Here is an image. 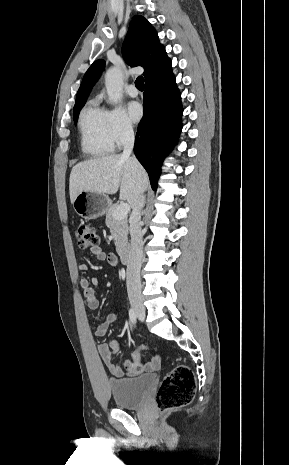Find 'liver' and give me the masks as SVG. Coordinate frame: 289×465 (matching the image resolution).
Masks as SVG:
<instances>
[{
    "label": "liver",
    "instance_id": "6515ba94",
    "mask_svg": "<svg viewBox=\"0 0 289 465\" xmlns=\"http://www.w3.org/2000/svg\"><path fill=\"white\" fill-rule=\"evenodd\" d=\"M147 186L148 176L141 164L119 154L80 162L72 168L69 179L71 203L83 191L115 194L120 187V199L133 208Z\"/></svg>",
    "mask_w": 289,
    "mask_h": 465
}]
</instances>
